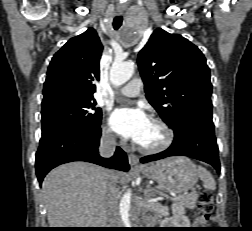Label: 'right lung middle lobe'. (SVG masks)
Listing matches in <instances>:
<instances>
[{"label":"right lung middle lobe","mask_w":252,"mask_h":231,"mask_svg":"<svg viewBox=\"0 0 252 231\" xmlns=\"http://www.w3.org/2000/svg\"><path fill=\"white\" fill-rule=\"evenodd\" d=\"M42 134L58 127L97 130L102 112L94 98L75 94H59L42 101Z\"/></svg>","instance_id":"obj_1"}]
</instances>
